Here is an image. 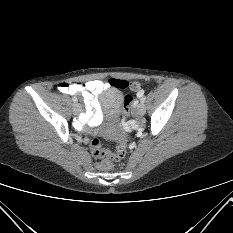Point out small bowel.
Listing matches in <instances>:
<instances>
[{
    "label": "small bowel",
    "mask_w": 233,
    "mask_h": 233,
    "mask_svg": "<svg viewBox=\"0 0 233 233\" xmlns=\"http://www.w3.org/2000/svg\"><path fill=\"white\" fill-rule=\"evenodd\" d=\"M110 86L109 83L102 80H92L88 82H73V83H60L58 89L62 93L70 95L81 94L84 102L85 110L78 118V128L85 130L87 126H97L101 119L102 113L100 105L95 98V95L101 93L103 90ZM143 90H139L137 96L140 97Z\"/></svg>",
    "instance_id": "obj_1"
}]
</instances>
